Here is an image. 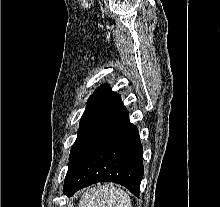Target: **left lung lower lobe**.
Listing matches in <instances>:
<instances>
[{"label": "left lung lower lobe", "instance_id": "1", "mask_svg": "<svg viewBox=\"0 0 220 207\" xmlns=\"http://www.w3.org/2000/svg\"><path fill=\"white\" fill-rule=\"evenodd\" d=\"M144 168L138 129L129 122L120 95L109 91L80 124L69 156L63 193L110 181L139 196Z\"/></svg>", "mask_w": 220, "mask_h": 207}]
</instances>
